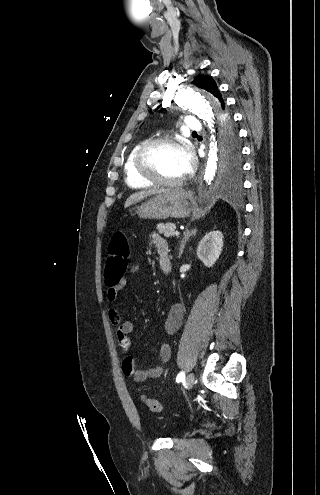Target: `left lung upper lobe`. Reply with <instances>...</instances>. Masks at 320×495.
Returning a JSON list of instances; mask_svg holds the SVG:
<instances>
[{
    "label": "left lung upper lobe",
    "instance_id": "left-lung-upper-lobe-1",
    "mask_svg": "<svg viewBox=\"0 0 320 495\" xmlns=\"http://www.w3.org/2000/svg\"><path fill=\"white\" fill-rule=\"evenodd\" d=\"M195 86L210 92L220 102L221 113V138L219 143V160L222 169L228 176H236L241 168V149L238 141V133L234 125L227 121L228 115L224 100L218 90L216 82L208 75H198L192 82Z\"/></svg>",
    "mask_w": 320,
    "mask_h": 495
}]
</instances>
